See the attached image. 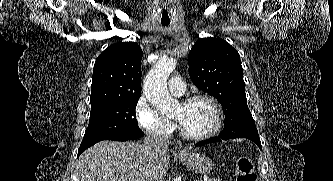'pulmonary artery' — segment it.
<instances>
[{
    "mask_svg": "<svg viewBox=\"0 0 333 181\" xmlns=\"http://www.w3.org/2000/svg\"><path fill=\"white\" fill-rule=\"evenodd\" d=\"M169 89L174 95H182L185 91V84L179 77H173L169 81Z\"/></svg>",
    "mask_w": 333,
    "mask_h": 181,
    "instance_id": "obj_1",
    "label": "pulmonary artery"
}]
</instances>
